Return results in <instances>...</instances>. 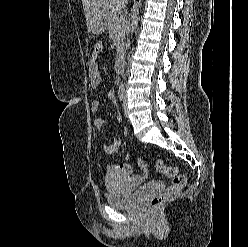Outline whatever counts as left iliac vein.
<instances>
[{
    "label": "left iliac vein",
    "mask_w": 248,
    "mask_h": 247,
    "mask_svg": "<svg viewBox=\"0 0 248 247\" xmlns=\"http://www.w3.org/2000/svg\"><path fill=\"white\" fill-rule=\"evenodd\" d=\"M123 108H124V112L127 115V94L124 93V97H123Z\"/></svg>",
    "instance_id": "obj_1"
}]
</instances>
